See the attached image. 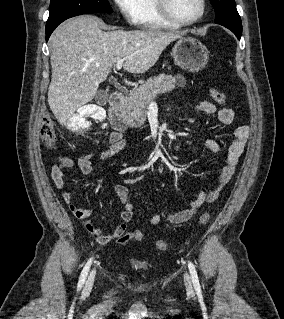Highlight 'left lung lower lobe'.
<instances>
[{
	"instance_id": "0a47b994",
	"label": "left lung lower lobe",
	"mask_w": 284,
	"mask_h": 319,
	"mask_svg": "<svg viewBox=\"0 0 284 319\" xmlns=\"http://www.w3.org/2000/svg\"><path fill=\"white\" fill-rule=\"evenodd\" d=\"M220 25H222V26L228 28L229 30H231L236 35L238 40H240V37H241V34H242V28H238V27L231 26V25H226V24H220Z\"/></svg>"
}]
</instances>
